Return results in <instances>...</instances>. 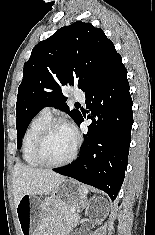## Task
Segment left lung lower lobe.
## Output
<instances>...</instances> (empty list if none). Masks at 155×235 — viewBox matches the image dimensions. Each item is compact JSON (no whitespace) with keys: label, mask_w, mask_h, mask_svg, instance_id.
I'll return each mask as SVG.
<instances>
[{"label":"left lung lower lobe","mask_w":155,"mask_h":235,"mask_svg":"<svg viewBox=\"0 0 155 235\" xmlns=\"http://www.w3.org/2000/svg\"><path fill=\"white\" fill-rule=\"evenodd\" d=\"M85 97L92 123L79 157L53 170L103 190L114 201L125 177L133 125V102L121 56ZM82 121L81 115L77 125Z\"/></svg>","instance_id":"left-lung-lower-lobe-1"}]
</instances>
